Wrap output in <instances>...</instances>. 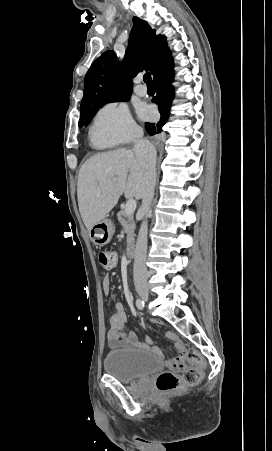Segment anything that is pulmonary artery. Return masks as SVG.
I'll list each match as a JSON object with an SVG mask.
<instances>
[{"instance_id": "pulmonary-artery-1", "label": "pulmonary artery", "mask_w": 272, "mask_h": 451, "mask_svg": "<svg viewBox=\"0 0 272 451\" xmlns=\"http://www.w3.org/2000/svg\"><path fill=\"white\" fill-rule=\"evenodd\" d=\"M135 93L140 97H144L146 95L145 86L143 84H137L135 86Z\"/></svg>"}]
</instances>
